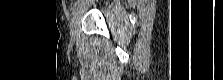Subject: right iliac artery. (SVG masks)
Here are the masks:
<instances>
[{
  "mask_svg": "<svg viewBox=\"0 0 223 80\" xmlns=\"http://www.w3.org/2000/svg\"><path fill=\"white\" fill-rule=\"evenodd\" d=\"M78 6H79V2H76V3L73 5V7L71 8L72 16L75 15L76 10L78 9Z\"/></svg>",
  "mask_w": 223,
  "mask_h": 80,
  "instance_id": "1",
  "label": "right iliac artery"
}]
</instances>
